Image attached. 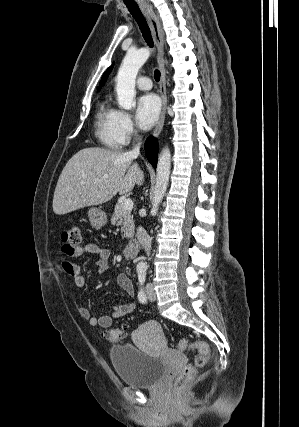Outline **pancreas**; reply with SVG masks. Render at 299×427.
I'll return each mask as SVG.
<instances>
[{
    "mask_svg": "<svg viewBox=\"0 0 299 427\" xmlns=\"http://www.w3.org/2000/svg\"><path fill=\"white\" fill-rule=\"evenodd\" d=\"M112 225L120 226L122 236L133 239L134 237V220L130 210H124L122 203L115 207V211L111 217Z\"/></svg>",
    "mask_w": 299,
    "mask_h": 427,
    "instance_id": "cf45deb5",
    "label": "pancreas"
}]
</instances>
